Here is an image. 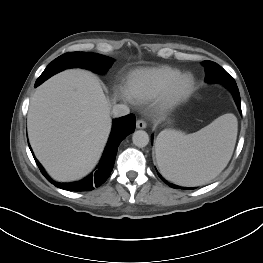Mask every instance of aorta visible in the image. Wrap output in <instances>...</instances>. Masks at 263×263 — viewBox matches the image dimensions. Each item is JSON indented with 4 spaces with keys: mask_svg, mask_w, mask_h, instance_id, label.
Returning a JSON list of instances; mask_svg holds the SVG:
<instances>
[{
    "mask_svg": "<svg viewBox=\"0 0 263 263\" xmlns=\"http://www.w3.org/2000/svg\"><path fill=\"white\" fill-rule=\"evenodd\" d=\"M132 141L137 147H145L149 143V135L143 130L135 131L132 136Z\"/></svg>",
    "mask_w": 263,
    "mask_h": 263,
    "instance_id": "1",
    "label": "aorta"
}]
</instances>
